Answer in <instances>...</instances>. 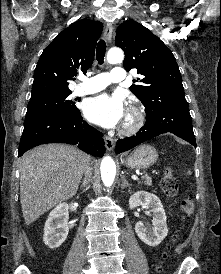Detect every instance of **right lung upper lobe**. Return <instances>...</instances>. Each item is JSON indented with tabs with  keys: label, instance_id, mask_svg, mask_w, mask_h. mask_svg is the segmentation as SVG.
I'll return each mask as SVG.
<instances>
[{
	"label": "right lung upper lobe",
	"instance_id": "1",
	"mask_svg": "<svg viewBox=\"0 0 221 274\" xmlns=\"http://www.w3.org/2000/svg\"><path fill=\"white\" fill-rule=\"evenodd\" d=\"M102 30L101 22L78 20L60 32L37 63L30 100L71 93L69 82L92 65Z\"/></svg>",
	"mask_w": 221,
	"mask_h": 274
}]
</instances>
